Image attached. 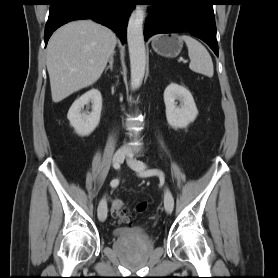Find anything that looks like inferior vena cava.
<instances>
[{
    "label": "inferior vena cava",
    "mask_w": 278,
    "mask_h": 278,
    "mask_svg": "<svg viewBox=\"0 0 278 278\" xmlns=\"http://www.w3.org/2000/svg\"><path fill=\"white\" fill-rule=\"evenodd\" d=\"M122 153H127L128 151H127V149L124 147V148H122L121 150H120Z\"/></svg>",
    "instance_id": "1"
}]
</instances>
